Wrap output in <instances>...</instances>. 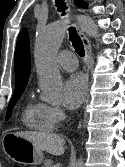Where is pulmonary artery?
<instances>
[{
    "label": "pulmonary artery",
    "instance_id": "obj_1",
    "mask_svg": "<svg viewBox=\"0 0 125 167\" xmlns=\"http://www.w3.org/2000/svg\"><path fill=\"white\" fill-rule=\"evenodd\" d=\"M58 65L65 71L73 72L77 69L76 56L70 51H62L57 56Z\"/></svg>",
    "mask_w": 125,
    "mask_h": 167
}]
</instances>
